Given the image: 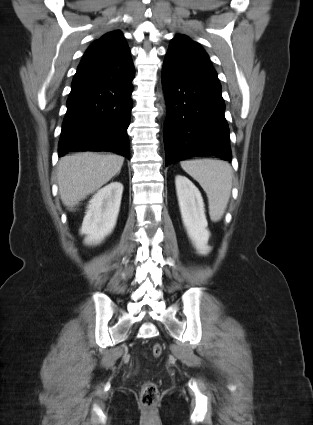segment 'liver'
Returning <instances> with one entry per match:
<instances>
[{
	"label": "liver",
	"mask_w": 313,
	"mask_h": 425,
	"mask_svg": "<svg viewBox=\"0 0 313 425\" xmlns=\"http://www.w3.org/2000/svg\"><path fill=\"white\" fill-rule=\"evenodd\" d=\"M124 157L115 154L76 153L58 163V187L62 203L72 210L122 168Z\"/></svg>",
	"instance_id": "1"
}]
</instances>
